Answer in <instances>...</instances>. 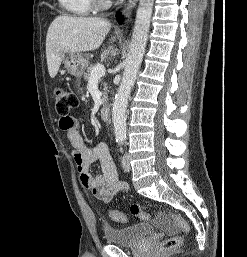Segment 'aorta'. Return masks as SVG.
<instances>
[{
    "label": "aorta",
    "mask_w": 247,
    "mask_h": 257,
    "mask_svg": "<svg viewBox=\"0 0 247 257\" xmlns=\"http://www.w3.org/2000/svg\"><path fill=\"white\" fill-rule=\"evenodd\" d=\"M153 5L154 0H139L129 53L125 60L122 81L115 96L112 109V121L117 140H124L126 138L128 100L145 53Z\"/></svg>",
    "instance_id": "1"
}]
</instances>
